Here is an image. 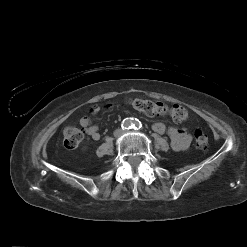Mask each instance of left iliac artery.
<instances>
[{
	"label": "left iliac artery",
	"instance_id": "left-iliac-artery-1",
	"mask_svg": "<svg viewBox=\"0 0 247 247\" xmlns=\"http://www.w3.org/2000/svg\"><path fill=\"white\" fill-rule=\"evenodd\" d=\"M141 128H142V123L138 119H135V121L133 123V129L134 130H139Z\"/></svg>",
	"mask_w": 247,
	"mask_h": 247
}]
</instances>
